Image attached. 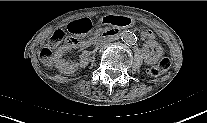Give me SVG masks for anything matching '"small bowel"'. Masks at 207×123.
I'll return each mask as SVG.
<instances>
[{
    "label": "small bowel",
    "mask_w": 207,
    "mask_h": 123,
    "mask_svg": "<svg viewBox=\"0 0 207 123\" xmlns=\"http://www.w3.org/2000/svg\"><path fill=\"white\" fill-rule=\"evenodd\" d=\"M104 23L110 27L127 28L130 26L131 20L129 17H114L113 15H105ZM92 25L93 21L90 17H81L75 19L74 22H71L69 24V31L72 33L80 34L90 29ZM143 36L147 38L149 43L152 45V33L145 32Z\"/></svg>",
    "instance_id": "small-bowel-1"
}]
</instances>
